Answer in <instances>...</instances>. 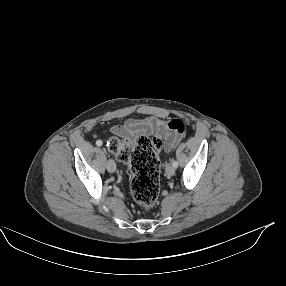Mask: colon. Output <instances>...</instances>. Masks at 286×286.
<instances>
[{
	"instance_id": "5ec220e1",
	"label": "colon",
	"mask_w": 286,
	"mask_h": 286,
	"mask_svg": "<svg viewBox=\"0 0 286 286\" xmlns=\"http://www.w3.org/2000/svg\"><path fill=\"white\" fill-rule=\"evenodd\" d=\"M178 127L184 131L183 122ZM160 142L152 143L147 137L140 136L134 145L118 137L108 140L107 148L120 161L128 163L133 172L131 194L133 199L143 208L149 210L155 206L160 190V169L154 148H159Z\"/></svg>"
}]
</instances>
